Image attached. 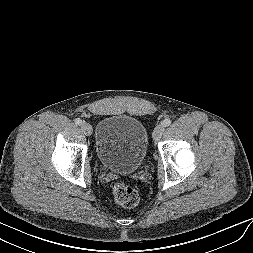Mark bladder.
I'll use <instances>...</instances> for the list:
<instances>
[{
	"mask_svg": "<svg viewBox=\"0 0 253 253\" xmlns=\"http://www.w3.org/2000/svg\"><path fill=\"white\" fill-rule=\"evenodd\" d=\"M147 148L146 127L133 116L110 115L97 125L95 155L107 170L118 173L136 171L145 160Z\"/></svg>",
	"mask_w": 253,
	"mask_h": 253,
	"instance_id": "1",
	"label": "bladder"
}]
</instances>
